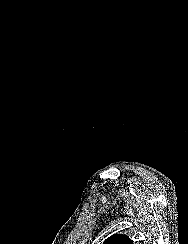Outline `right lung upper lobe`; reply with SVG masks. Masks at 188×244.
Wrapping results in <instances>:
<instances>
[{
    "label": "right lung upper lobe",
    "instance_id": "right-lung-upper-lobe-1",
    "mask_svg": "<svg viewBox=\"0 0 188 244\" xmlns=\"http://www.w3.org/2000/svg\"><path fill=\"white\" fill-rule=\"evenodd\" d=\"M103 244H133L126 235L115 234L107 238Z\"/></svg>",
    "mask_w": 188,
    "mask_h": 244
}]
</instances>
